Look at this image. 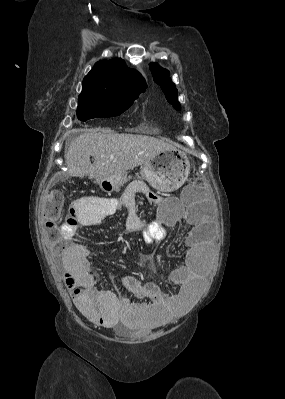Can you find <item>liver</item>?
Instances as JSON below:
<instances>
[{
    "label": "liver",
    "instance_id": "1",
    "mask_svg": "<svg viewBox=\"0 0 285 399\" xmlns=\"http://www.w3.org/2000/svg\"><path fill=\"white\" fill-rule=\"evenodd\" d=\"M174 148L172 144L151 136L89 130L71 142L65 161L69 176L100 180L106 176L122 177L158 152Z\"/></svg>",
    "mask_w": 285,
    "mask_h": 399
}]
</instances>
